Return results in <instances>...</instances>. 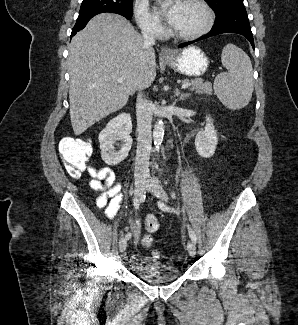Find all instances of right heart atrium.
<instances>
[{
  "instance_id": "obj_1",
  "label": "right heart atrium",
  "mask_w": 298,
  "mask_h": 325,
  "mask_svg": "<svg viewBox=\"0 0 298 325\" xmlns=\"http://www.w3.org/2000/svg\"><path fill=\"white\" fill-rule=\"evenodd\" d=\"M135 16L141 30H156V36L163 33V27L151 13L147 0L136 2Z\"/></svg>"
}]
</instances>
